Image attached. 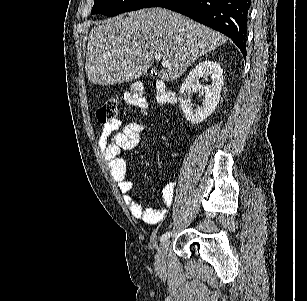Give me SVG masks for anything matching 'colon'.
<instances>
[{
    "label": "colon",
    "mask_w": 307,
    "mask_h": 301,
    "mask_svg": "<svg viewBox=\"0 0 307 301\" xmlns=\"http://www.w3.org/2000/svg\"><path fill=\"white\" fill-rule=\"evenodd\" d=\"M154 89L156 100L159 103L167 104L174 101L175 95L173 91H171L163 82H155ZM124 100L127 104L134 107L142 116L146 115L147 101L142 83H132L124 95ZM117 114L118 104L114 99L107 100L96 112L98 121L103 124L116 120Z\"/></svg>",
    "instance_id": "colon-1"
}]
</instances>
